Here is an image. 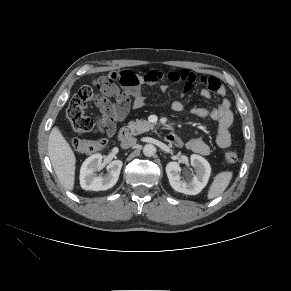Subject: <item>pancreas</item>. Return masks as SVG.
<instances>
[{
	"label": "pancreas",
	"instance_id": "cf45deb5",
	"mask_svg": "<svg viewBox=\"0 0 291 291\" xmlns=\"http://www.w3.org/2000/svg\"><path fill=\"white\" fill-rule=\"evenodd\" d=\"M127 127L132 135H138L153 129L154 125L146 120H136L130 121Z\"/></svg>",
	"mask_w": 291,
	"mask_h": 291
}]
</instances>
